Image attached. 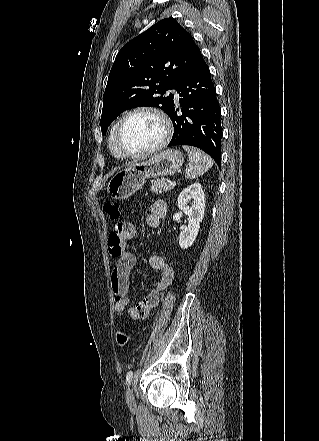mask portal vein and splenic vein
I'll list each match as a JSON object with an SVG mask.
<instances>
[{
	"instance_id": "portal-vein-and-splenic-vein-1",
	"label": "portal vein and splenic vein",
	"mask_w": 319,
	"mask_h": 441,
	"mask_svg": "<svg viewBox=\"0 0 319 441\" xmlns=\"http://www.w3.org/2000/svg\"><path fill=\"white\" fill-rule=\"evenodd\" d=\"M170 186H172V187L176 186V182L175 181H170Z\"/></svg>"
}]
</instances>
